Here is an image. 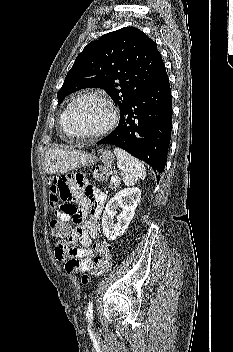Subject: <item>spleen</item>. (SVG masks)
I'll use <instances>...</instances> for the list:
<instances>
[{"label": "spleen", "instance_id": "obj_1", "mask_svg": "<svg viewBox=\"0 0 233 352\" xmlns=\"http://www.w3.org/2000/svg\"><path fill=\"white\" fill-rule=\"evenodd\" d=\"M114 154L117 157V166L123 173L122 179L126 186H132L139 179L146 177L145 167L138 159L118 147L114 149Z\"/></svg>", "mask_w": 233, "mask_h": 352}]
</instances>
